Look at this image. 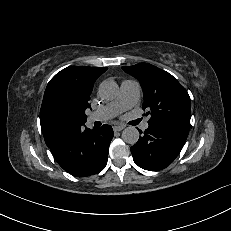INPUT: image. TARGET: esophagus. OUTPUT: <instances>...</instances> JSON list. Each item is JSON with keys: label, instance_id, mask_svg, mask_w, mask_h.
Segmentation results:
<instances>
[{"label": "esophagus", "instance_id": "esophagus-1", "mask_svg": "<svg viewBox=\"0 0 231 231\" xmlns=\"http://www.w3.org/2000/svg\"><path fill=\"white\" fill-rule=\"evenodd\" d=\"M124 128H125L124 125H116V126L113 127V130H114L115 132H118V131L123 130Z\"/></svg>", "mask_w": 231, "mask_h": 231}]
</instances>
